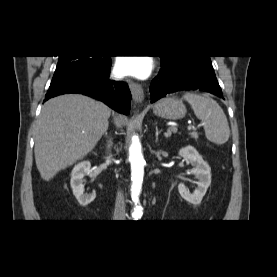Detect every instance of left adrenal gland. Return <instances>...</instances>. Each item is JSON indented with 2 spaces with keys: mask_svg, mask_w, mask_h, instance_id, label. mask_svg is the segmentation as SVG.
I'll return each instance as SVG.
<instances>
[{
  "mask_svg": "<svg viewBox=\"0 0 277 277\" xmlns=\"http://www.w3.org/2000/svg\"><path fill=\"white\" fill-rule=\"evenodd\" d=\"M160 133H161V131H158V127L156 126V133H155V136H156L155 142L156 143L158 142V136H159Z\"/></svg>",
  "mask_w": 277,
  "mask_h": 277,
  "instance_id": "1",
  "label": "left adrenal gland"
}]
</instances>
